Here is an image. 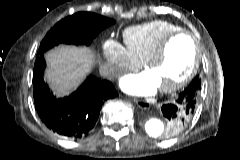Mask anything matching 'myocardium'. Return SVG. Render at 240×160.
I'll use <instances>...</instances> for the list:
<instances>
[{
	"instance_id": "myocardium-1",
	"label": "myocardium",
	"mask_w": 240,
	"mask_h": 160,
	"mask_svg": "<svg viewBox=\"0 0 240 160\" xmlns=\"http://www.w3.org/2000/svg\"><path fill=\"white\" fill-rule=\"evenodd\" d=\"M178 36H187L192 41L195 51L194 63L185 77L176 81L173 84L159 87V91L163 93H170L178 89H181L182 87L187 85L195 77L201 63L202 56L201 46L197 38L189 31L178 30L168 34L161 40V42L157 45L154 51L143 61L142 63L143 69L147 70L150 65L156 63L159 59H161L166 51L168 44Z\"/></svg>"
}]
</instances>
